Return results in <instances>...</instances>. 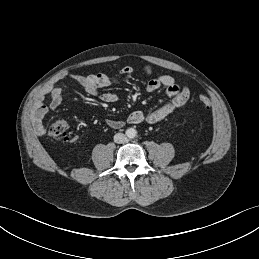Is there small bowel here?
Returning a JSON list of instances; mask_svg holds the SVG:
<instances>
[{"mask_svg":"<svg viewBox=\"0 0 259 259\" xmlns=\"http://www.w3.org/2000/svg\"><path fill=\"white\" fill-rule=\"evenodd\" d=\"M132 72L133 68L130 66H125L122 68V73L124 75H129ZM143 72L145 75L148 76H151L153 74V70L150 67H144ZM62 78H68L75 81L89 95L99 97L104 102L114 103L118 100V95L113 92H101L102 88L111 86L117 82L115 78L107 74H64ZM160 88H165L166 95L169 97V101L148 114H145L142 111L132 112L127 118L128 123L139 124L143 121H146L150 124L158 123L177 109L184 106L190 97V92L188 88L179 86L175 82L174 78L167 74H161L156 76L155 78H152L148 81L146 85V89L149 92L157 91ZM48 93L50 95L49 105L43 102L44 93H41L38 95L37 102L31 113L32 128L34 133L37 135H44L46 133V128L43 124V120L47 115L49 109L55 110L60 106L64 90L61 86H55L51 88ZM106 123L111 128H120L124 125V121L115 119H108L106 120Z\"/></svg>","mask_w":259,"mask_h":259,"instance_id":"c3829d8e","label":"small bowel"}]
</instances>
